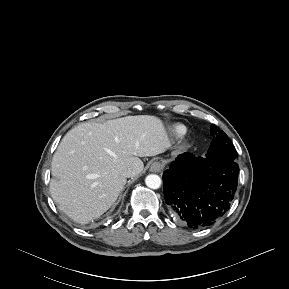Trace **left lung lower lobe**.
Returning <instances> with one entry per match:
<instances>
[{
	"label": "left lung lower lobe",
	"mask_w": 289,
	"mask_h": 289,
	"mask_svg": "<svg viewBox=\"0 0 289 289\" xmlns=\"http://www.w3.org/2000/svg\"><path fill=\"white\" fill-rule=\"evenodd\" d=\"M238 173L235 161L181 154L163 173L166 203L191 228L212 225L229 210Z\"/></svg>",
	"instance_id": "left-lung-lower-lobe-1"
}]
</instances>
